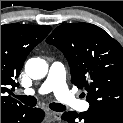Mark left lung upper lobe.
Instances as JSON below:
<instances>
[{
  "instance_id": "left-lung-upper-lobe-1",
  "label": "left lung upper lobe",
  "mask_w": 123,
  "mask_h": 123,
  "mask_svg": "<svg viewBox=\"0 0 123 123\" xmlns=\"http://www.w3.org/2000/svg\"><path fill=\"white\" fill-rule=\"evenodd\" d=\"M46 42L56 46L71 68V82L87 91L91 106L123 112V48L89 23L58 26Z\"/></svg>"
}]
</instances>
